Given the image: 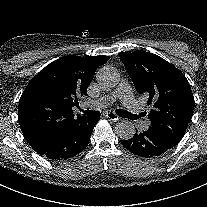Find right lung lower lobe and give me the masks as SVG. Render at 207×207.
<instances>
[{"mask_svg":"<svg viewBox=\"0 0 207 207\" xmlns=\"http://www.w3.org/2000/svg\"><path fill=\"white\" fill-rule=\"evenodd\" d=\"M99 120V117L79 116L57 137L34 150L52 161L69 159L87 147L93 128Z\"/></svg>","mask_w":207,"mask_h":207,"instance_id":"right-lung-lower-lobe-1","label":"right lung lower lobe"}]
</instances>
